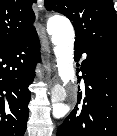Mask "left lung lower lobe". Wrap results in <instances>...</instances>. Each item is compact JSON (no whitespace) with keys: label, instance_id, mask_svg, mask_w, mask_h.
Listing matches in <instances>:
<instances>
[{"label":"left lung lower lobe","instance_id":"1","mask_svg":"<svg viewBox=\"0 0 117 136\" xmlns=\"http://www.w3.org/2000/svg\"><path fill=\"white\" fill-rule=\"evenodd\" d=\"M80 53L87 54L80 67L85 86L57 136H117V55L75 43L77 59Z\"/></svg>","mask_w":117,"mask_h":136}]
</instances>
